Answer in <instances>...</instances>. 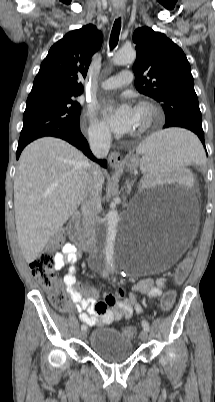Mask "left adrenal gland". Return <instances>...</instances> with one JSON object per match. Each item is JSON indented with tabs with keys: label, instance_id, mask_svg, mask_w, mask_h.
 <instances>
[{
	"label": "left adrenal gland",
	"instance_id": "left-adrenal-gland-1",
	"mask_svg": "<svg viewBox=\"0 0 215 402\" xmlns=\"http://www.w3.org/2000/svg\"><path fill=\"white\" fill-rule=\"evenodd\" d=\"M134 182H135L134 180H132L131 182L129 180H126L125 190L128 195L131 193Z\"/></svg>",
	"mask_w": 215,
	"mask_h": 402
}]
</instances>
